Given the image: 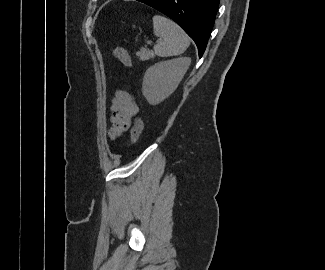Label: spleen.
I'll use <instances>...</instances> for the list:
<instances>
[{
    "label": "spleen",
    "instance_id": "3e777b00",
    "mask_svg": "<svg viewBox=\"0 0 325 270\" xmlns=\"http://www.w3.org/2000/svg\"><path fill=\"white\" fill-rule=\"evenodd\" d=\"M152 20L154 34L159 37V42L154 46L156 55L176 56L189 47V37L174 21L161 15H155Z\"/></svg>",
    "mask_w": 325,
    "mask_h": 270
}]
</instances>
